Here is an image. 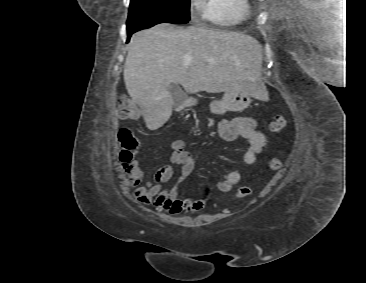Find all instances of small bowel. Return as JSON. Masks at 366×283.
<instances>
[{
  "label": "small bowel",
  "mask_w": 366,
  "mask_h": 283,
  "mask_svg": "<svg viewBox=\"0 0 366 283\" xmlns=\"http://www.w3.org/2000/svg\"><path fill=\"white\" fill-rule=\"evenodd\" d=\"M217 132L225 140H233L238 137L245 138L248 148L243 155L246 165H253L256 157L267 147V137L257 126V121L252 117H237L234 119H222L217 123ZM171 164L159 167L152 178L143 183L144 171L136 161L123 163L125 181L130 187H134V198L142 205L152 204L158 212L177 214L181 211L195 212L200 210L207 199L184 198L178 193L177 187L169 190L164 184L174 176V166L180 167L178 183L183 182L195 169V160L191 153L185 149L182 140L171 143ZM241 179L238 170L228 173L226 179L217 183L216 189L220 192H229Z\"/></svg>",
  "instance_id": "1"
}]
</instances>
